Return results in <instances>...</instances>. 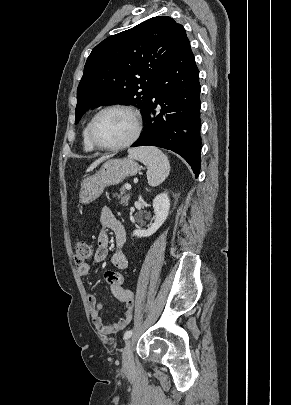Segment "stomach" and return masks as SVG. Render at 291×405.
<instances>
[{"label": "stomach", "instance_id": "0dacf381", "mask_svg": "<svg viewBox=\"0 0 291 405\" xmlns=\"http://www.w3.org/2000/svg\"><path fill=\"white\" fill-rule=\"evenodd\" d=\"M139 165L131 158L111 159L106 161L93 176L83 180L80 190V202L88 204L99 198L108 186L118 185L127 177L139 171Z\"/></svg>", "mask_w": 291, "mask_h": 405}]
</instances>
